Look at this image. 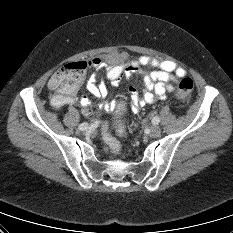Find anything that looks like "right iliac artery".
<instances>
[{"mask_svg":"<svg viewBox=\"0 0 233 233\" xmlns=\"http://www.w3.org/2000/svg\"><path fill=\"white\" fill-rule=\"evenodd\" d=\"M85 127H88V123H82V124L79 125L78 128H79L80 130H82V129H84Z\"/></svg>","mask_w":233,"mask_h":233,"instance_id":"obj_1","label":"right iliac artery"}]
</instances>
